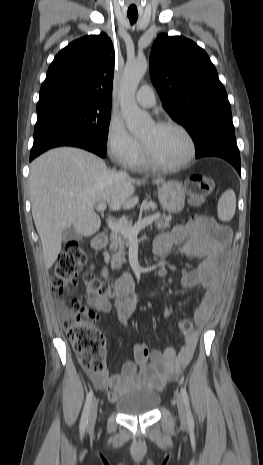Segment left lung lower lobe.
Here are the masks:
<instances>
[{
    "label": "left lung lower lobe",
    "instance_id": "1",
    "mask_svg": "<svg viewBox=\"0 0 263 465\" xmlns=\"http://www.w3.org/2000/svg\"><path fill=\"white\" fill-rule=\"evenodd\" d=\"M204 156L224 158L241 174L240 154L234 132H219L211 135L200 148L196 149V158Z\"/></svg>",
    "mask_w": 263,
    "mask_h": 465
}]
</instances>
